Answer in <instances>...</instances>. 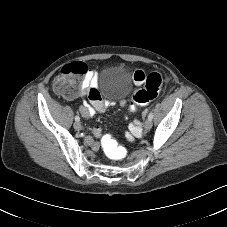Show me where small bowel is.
Here are the masks:
<instances>
[{"label": "small bowel", "instance_id": "obj_1", "mask_svg": "<svg viewBox=\"0 0 227 227\" xmlns=\"http://www.w3.org/2000/svg\"><path fill=\"white\" fill-rule=\"evenodd\" d=\"M83 68V80H82V97L89 95L90 91L93 89H97V81H98V73L94 69H90L85 65H82ZM141 71V70H134L133 73ZM142 72V71H141ZM143 76L145 77V73ZM136 85L140 86L143 82L141 81H134ZM71 99L70 97H67ZM106 108V103L101 99L99 95V99L96 102L91 104L84 103L79 107V111L83 118L88 119L94 116L96 113L104 111ZM131 133L134 137H138L140 134V125L138 123H134L130 126ZM103 136V133L99 127H95L93 130V136H89L86 138V143L90 146L93 150H98L100 147L98 139Z\"/></svg>", "mask_w": 227, "mask_h": 227}]
</instances>
